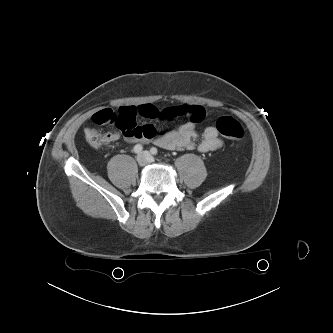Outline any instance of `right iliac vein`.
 Wrapping results in <instances>:
<instances>
[{
    "mask_svg": "<svg viewBox=\"0 0 333 333\" xmlns=\"http://www.w3.org/2000/svg\"><path fill=\"white\" fill-rule=\"evenodd\" d=\"M136 160L140 166H145L148 162V158L144 153L138 154Z\"/></svg>",
    "mask_w": 333,
    "mask_h": 333,
    "instance_id": "63e3f726",
    "label": "right iliac vein"
}]
</instances>
